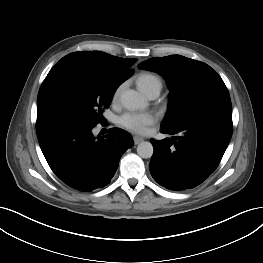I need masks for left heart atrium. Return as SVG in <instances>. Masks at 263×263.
Wrapping results in <instances>:
<instances>
[{"mask_svg":"<svg viewBox=\"0 0 263 263\" xmlns=\"http://www.w3.org/2000/svg\"><path fill=\"white\" fill-rule=\"evenodd\" d=\"M155 122L151 113L127 112L118 118V123L133 132L144 134L148 127Z\"/></svg>","mask_w":263,"mask_h":263,"instance_id":"obj_1","label":"left heart atrium"}]
</instances>
